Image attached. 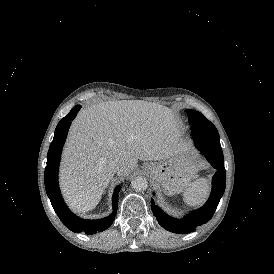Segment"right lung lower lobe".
<instances>
[{"label":"right lung lower lobe","mask_w":274,"mask_h":274,"mask_svg":"<svg viewBox=\"0 0 274 274\" xmlns=\"http://www.w3.org/2000/svg\"><path fill=\"white\" fill-rule=\"evenodd\" d=\"M81 106L76 105L70 113L58 123L54 139L47 155V167L45 168V188L51 204L62 223L75 233L94 234L104 231L113 222L117 212L118 193L120 187H116L113 195V213L99 220H84L75 216L64 203L58 187V167L62 147L64 145L71 120L75 118Z\"/></svg>","instance_id":"right-lung-lower-lobe-1"}]
</instances>
